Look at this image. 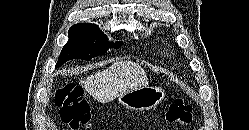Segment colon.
<instances>
[{
	"instance_id": "obj_1",
	"label": "colon",
	"mask_w": 249,
	"mask_h": 130,
	"mask_svg": "<svg viewBox=\"0 0 249 130\" xmlns=\"http://www.w3.org/2000/svg\"><path fill=\"white\" fill-rule=\"evenodd\" d=\"M54 100L60 110L61 119L73 130L90 126V107L83 98V89L80 86L66 84L58 88ZM166 120L171 124H188L192 120V106L183 98L176 99L167 111Z\"/></svg>"
}]
</instances>
